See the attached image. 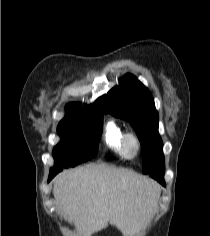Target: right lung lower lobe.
Instances as JSON below:
<instances>
[{
  "mask_svg": "<svg viewBox=\"0 0 210 236\" xmlns=\"http://www.w3.org/2000/svg\"><path fill=\"white\" fill-rule=\"evenodd\" d=\"M61 170H62V167H53V168H51L48 181H50Z\"/></svg>",
  "mask_w": 210,
  "mask_h": 236,
  "instance_id": "98d812e1",
  "label": "right lung lower lobe"
}]
</instances>
